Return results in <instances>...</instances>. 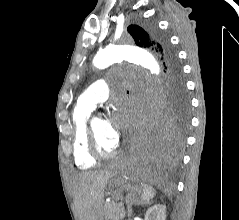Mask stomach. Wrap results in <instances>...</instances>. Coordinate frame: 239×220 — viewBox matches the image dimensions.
Masks as SVG:
<instances>
[{
  "label": "stomach",
  "instance_id": "stomach-1",
  "mask_svg": "<svg viewBox=\"0 0 239 220\" xmlns=\"http://www.w3.org/2000/svg\"><path fill=\"white\" fill-rule=\"evenodd\" d=\"M111 187L113 186H122V191L116 192H130L131 194H140L142 189L141 186L137 183H129V178H127V183H110Z\"/></svg>",
  "mask_w": 239,
  "mask_h": 220
}]
</instances>
